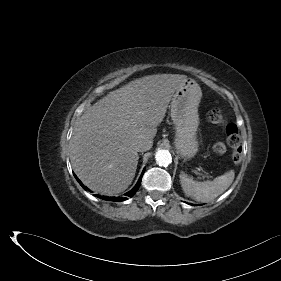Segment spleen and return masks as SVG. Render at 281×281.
I'll use <instances>...</instances> for the list:
<instances>
[{
    "mask_svg": "<svg viewBox=\"0 0 281 281\" xmlns=\"http://www.w3.org/2000/svg\"><path fill=\"white\" fill-rule=\"evenodd\" d=\"M235 177L233 170L216 177L213 181L196 182L185 173L180 174V183L186 196L202 203L213 201L216 197L226 191Z\"/></svg>",
    "mask_w": 281,
    "mask_h": 281,
    "instance_id": "3e777b00",
    "label": "spleen"
}]
</instances>
